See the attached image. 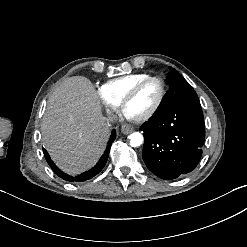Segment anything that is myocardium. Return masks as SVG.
Masks as SVG:
<instances>
[{
	"instance_id": "f54148a6",
	"label": "myocardium",
	"mask_w": 247,
	"mask_h": 247,
	"mask_svg": "<svg viewBox=\"0 0 247 247\" xmlns=\"http://www.w3.org/2000/svg\"><path fill=\"white\" fill-rule=\"evenodd\" d=\"M149 81H156L159 83L160 88H161L160 97H159L157 104L155 105V107L150 112H148L147 114H145L144 116H142L140 118H137V121H139V122H147V121L153 119L158 114V112L160 111V109L162 108V106L164 104L166 94H167V87H166L165 81L161 77H159V76H147V77L143 78L142 80L137 82L131 88V90L122 98V100L119 103L120 107L122 109H125L126 105L128 103H130L136 97L140 88L146 82H149Z\"/></svg>"
}]
</instances>
